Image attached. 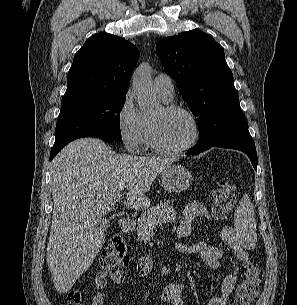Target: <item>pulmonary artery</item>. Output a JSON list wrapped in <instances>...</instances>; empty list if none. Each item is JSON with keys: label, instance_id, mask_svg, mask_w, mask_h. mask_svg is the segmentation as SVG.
<instances>
[{"label": "pulmonary artery", "instance_id": "e3ab8cb5", "mask_svg": "<svg viewBox=\"0 0 297 305\" xmlns=\"http://www.w3.org/2000/svg\"><path fill=\"white\" fill-rule=\"evenodd\" d=\"M153 87L158 95L165 101H170L174 97V84L170 76L159 74L153 81Z\"/></svg>", "mask_w": 297, "mask_h": 305}]
</instances>
